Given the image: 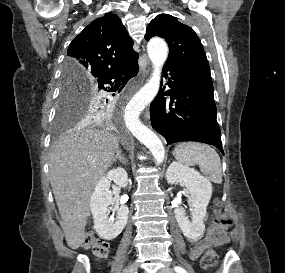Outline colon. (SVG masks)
I'll use <instances>...</instances> for the list:
<instances>
[{
	"instance_id": "obj_1",
	"label": "colon",
	"mask_w": 285,
	"mask_h": 273,
	"mask_svg": "<svg viewBox=\"0 0 285 273\" xmlns=\"http://www.w3.org/2000/svg\"><path fill=\"white\" fill-rule=\"evenodd\" d=\"M216 214V221L221 229H227L231 225V221L219 208L216 202V208L214 209ZM82 246L85 249L92 250L93 254L97 258H103L107 255L109 244L106 240L96 238L92 233H86L82 240ZM218 256L212 249L207 250L200 260V265L204 270L211 269L217 262Z\"/></svg>"
}]
</instances>
